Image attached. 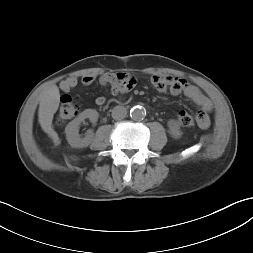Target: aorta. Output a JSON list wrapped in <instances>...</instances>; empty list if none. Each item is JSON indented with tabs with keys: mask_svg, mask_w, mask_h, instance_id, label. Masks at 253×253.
Listing matches in <instances>:
<instances>
[{
	"mask_svg": "<svg viewBox=\"0 0 253 253\" xmlns=\"http://www.w3.org/2000/svg\"><path fill=\"white\" fill-rule=\"evenodd\" d=\"M146 115V111L145 109L140 106V105H137V106H134L131 108L130 110V116L134 119V120H141L145 117Z\"/></svg>",
	"mask_w": 253,
	"mask_h": 253,
	"instance_id": "1",
	"label": "aorta"
}]
</instances>
